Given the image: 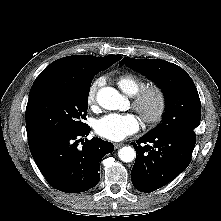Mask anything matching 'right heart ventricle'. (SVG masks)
<instances>
[{
  "label": "right heart ventricle",
  "instance_id": "e07e8e85",
  "mask_svg": "<svg viewBox=\"0 0 221 221\" xmlns=\"http://www.w3.org/2000/svg\"><path fill=\"white\" fill-rule=\"evenodd\" d=\"M119 88L129 96H134L142 87L145 81L132 73H125L117 78Z\"/></svg>",
  "mask_w": 221,
  "mask_h": 221
}]
</instances>
